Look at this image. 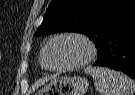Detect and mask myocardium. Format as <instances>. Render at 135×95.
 I'll use <instances>...</instances> for the list:
<instances>
[{
	"instance_id": "obj_1",
	"label": "myocardium",
	"mask_w": 135,
	"mask_h": 95,
	"mask_svg": "<svg viewBox=\"0 0 135 95\" xmlns=\"http://www.w3.org/2000/svg\"><path fill=\"white\" fill-rule=\"evenodd\" d=\"M64 38H74V39H78L81 42H83L87 48V55L83 60H81L73 65L65 66V67H53L49 64L50 49L56 41H58L60 39H64ZM96 52H97V49H96L94 42L87 35H85L83 33H79V32H64V33L54 36L47 43L45 51H44V66L46 69H49L52 71H59V72L75 70V69L81 68V67L85 66L86 64H88L89 62H91L93 60V58L96 56Z\"/></svg>"
}]
</instances>
